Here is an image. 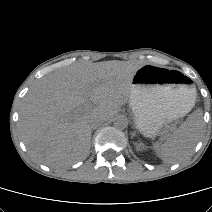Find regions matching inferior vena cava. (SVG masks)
<instances>
[{"mask_svg": "<svg viewBox=\"0 0 212 212\" xmlns=\"http://www.w3.org/2000/svg\"><path fill=\"white\" fill-rule=\"evenodd\" d=\"M100 122H101V120L99 118H93L91 120L90 125H91V127H94V126L98 125Z\"/></svg>", "mask_w": 212, "mask_h": 212, "instance_id": "inferior-vena-cava-1", "label": "inferior vena cava"}]
</instances>
